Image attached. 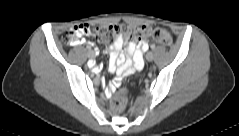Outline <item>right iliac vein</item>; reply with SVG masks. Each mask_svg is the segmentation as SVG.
<instances>
[{
	"label": "right iliac vein",
	"instance_id": "right-iliac-vein-1",
	"mask_svg": "<svg viewBox=\"0 0 239 136\" xmlns=\"http://www.w3.org/2000/svg\"><path fill=\"white\" fill-rule=\"evenodd\" d=\"M88 56H89L90 58H94V57H95L94 51H91L90 53L88 52Z\"/></svg>",
	"mask_w": 239,
	"mask_h": 136
}]
</instances>
